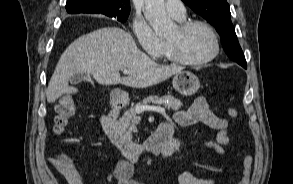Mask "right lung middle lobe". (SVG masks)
Here are the masks:
<instances>
[{
    "mask_svg": "<svg viewBox=\"0 0 293 184\" xmlns=\"http://www.w3.org/2000/svg\"><path fill=\"white\" fill-rule=\"evenodd\" d=\"M128 16H129V14H112V15L109 16V17H114V18H116L118 21L123 22V21H125V20L128 19Z\"/></svg>",
    "mask_w": 293,
    "mask_h": 184,
    "instance_id": "obj_1",
    "label": "right lung middle lobe"
}]
</instances>
